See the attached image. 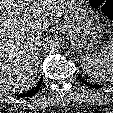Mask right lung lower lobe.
<instances>
[{
  "mask_svg": "<svg viewBox=\"0 0 113 113\" xmlns=\"http://www.w3.org/2000/svg\"><path fill=\"white\" fill-rule=\"evenodd\" d=\"M42 82H43V77H41L40 81L38 82V84L35 87H33L27 93L19 94L18 97H30V96L35 95L38 92V90L40 89Z\"/></svg>",
  "mask_w": 113,
  "mask_h": 113,
  "instance_id": "obj_1",
  "label": "right lung lower lobe"
}]
</instances>
